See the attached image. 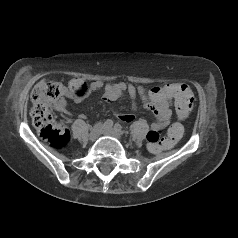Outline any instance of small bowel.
Returning <instances> with one entry per match:
<instances>
[{"instance_id": "c3829d8e", "label": "small bowel", "mask_w": 238, "mask_h": 238, "mask_svg": "<svg viewBox=\"0 0 238 238\" xmlns=\"http://www.w3.org/2000/svg\"><path fill=\"white\" fill-rule=\"evenodd\" d=\"M176 85L178 84H167L147 91L142 86L131 83L104 84L102 81H94L87 84L80 78H73L69 82L65 96L74 99L76 102H81L92 92L103 90L104 100L108 103H112L125 95H128L132 100L139 96L145 106L153 112L157 120V122L152 123V129L162 130L169 123L172 116L171 106L174 97L169 93V90ZM56 109L64 114H69L68 106L64 99L56 104ZM133 109H136L135 104H133ZM119 118L125 122H131L134 119L130 114H121Z\"/></svg>"}]
</instances>
